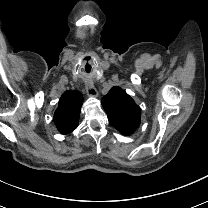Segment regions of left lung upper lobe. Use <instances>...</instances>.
Returning <instances> with one entry per match:
<instances>
[{
    "label": "left lung upper lobe",
    "instance_id": "5c2ea615",
    "mask_svg": "<svg viewBox=\"0 0 208 208\" xmlns=\"http://www.w3.org/2000/svg\"><path fill=\"white\" fill-rule=\"evenodd\" d=\"M110 123L123 135H131L140 124L141 109L120 87H112L102 98Z\"/></svg>",
    "mask_w": 208,
    "mask_h": 208
}]
</instances>
